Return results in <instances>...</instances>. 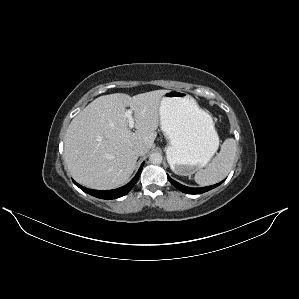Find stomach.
I'll use <instances>...</instances> for the list:
<instances>
[{
	"mask_svg": "<svg viewBox=\"0 0 299 299\" xmlns=\"http://www.w3.org/2000/svg\"><path fill=\"white\" fill-rule=\"evenodd\" d=\"M159 113L160 129L168 140L166 154L171 170L190 176L204 167L219 146L211 116L193 97L179 90L163 95Z\"/></svg>",
	"mask_w": 299,
	"mask_h": 299,
	"instance_id": "1",
	"label": "stomach"
}]
</instances>
